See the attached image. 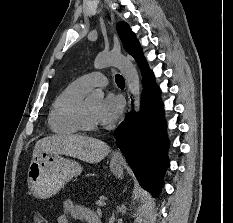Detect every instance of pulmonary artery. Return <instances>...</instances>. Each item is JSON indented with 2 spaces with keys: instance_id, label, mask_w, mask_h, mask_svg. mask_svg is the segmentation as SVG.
I'll use <instances>...</instances> for the list:
<instances>
[{
  "instance_id": "obj_1",
  "label": "pulmonary artery",
  "mask_w": 233,
  "mask_h": 223,
  "mask_svg": "<svg viewBox=\"0 0 233 223\" xmlns=\"http://www.w3.org/2000/svg\"><path fill=\"white\" fill-rule=\"evenodd\" d=\"M86 89L94 86H105L108 83V77L101 72H91L81 76L78 79Z\"/></svg>"
}]
</instances>
